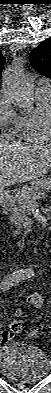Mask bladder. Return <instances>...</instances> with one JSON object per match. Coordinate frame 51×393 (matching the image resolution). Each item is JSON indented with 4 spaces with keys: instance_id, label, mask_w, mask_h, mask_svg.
Wrapping results in <instances>:
<instances>
[{
    "instance_id": "31cf9c89",
    "label": "bladder",
    "mask_w": 51,
    "mask_h": 393,
    "mask_svg": "<svg viewBox=\"0 0 51 393\" xmlns=\"http://www.w3.org/2000/svg\"><path fill=\"white\" fill-rule=\"evenodd\" d=\"M0 369L13 382L30 383L50 374L51 361L42 350L8 345L1 350Z\"/></svg>"
}]
</instances>
